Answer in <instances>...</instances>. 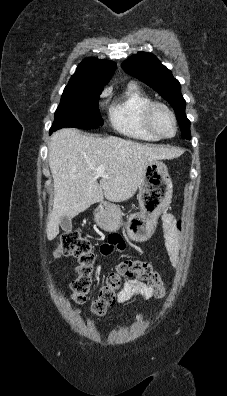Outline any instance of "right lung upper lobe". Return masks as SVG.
I'll list each match as a JSON object with an SVG mask.
<instances>
[{"instance_id": "right-lung-upper-lobe-1", "label": "right lung upper lobe", "mask_w": 227, "mask_h": 396, "mask_svg": "<svg viewBox=\"0 0 227 396\" xmlns=\"http://www.w3.org/2000/svg\"><path fill=\"white\" fill-rule=\"evenodd\" d=\"M116 68L112 61L87 58L77 67L71 77L69 85H92L102 87L106 85Z\"/></svg>"}]
</instances>
